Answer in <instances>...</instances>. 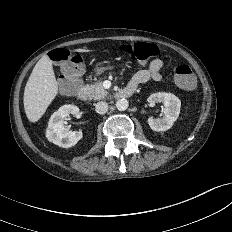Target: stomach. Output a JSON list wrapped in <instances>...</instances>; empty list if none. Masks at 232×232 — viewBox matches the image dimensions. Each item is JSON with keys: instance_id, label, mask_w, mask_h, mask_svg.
Returning <instances> with one entry per match:
<instances>
[{"instance_id": "stomach-1", "label": "stomach", "mask_w": 232, "mask_h": 232, "mask_svg": "<svg viewBox=\"0 0 232 232\" xmlns=\"http://www.w3.org/2000/svg\"><path fill=\"white\" fill-rule=\"evenodd\" d=\"M112 68V66H110V65H107V66H105V65H98L96 68H95V73L97 74V75H100V74H102L104 71H106V70H108V69H111Z\"/></svg>"}]
</instances>
